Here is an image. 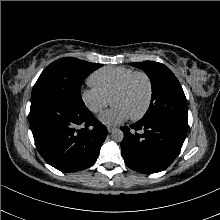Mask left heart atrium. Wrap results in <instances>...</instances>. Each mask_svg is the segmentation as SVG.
Listing matches in <instances>:
<instances>
[{
	"label": "left heart atrium",
	"mask_w": 220,
	"mask_h": 220,
	"mask_svg": "<svg viewBox=\"0 0 220 220\" xmlns=\"http://www.w3.org/2000/svg\"><path fill=\"white\" fill-rule=\"evenodd\" d=\"M129 117L130 115L126 109L122 106L114 105L101 114L100 120L108 125H116L126 121Z\"/></svg>",
	"instance_id": "obj_1"
}]
</instances>
